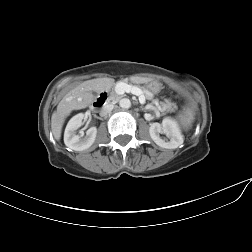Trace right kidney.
Listing matches in <instances>:
<instances>
[{
    "mask_svg": "<svg viewBox=\"0 0 252 252\" xmlns=\"http://www.w3.org/2000/svg\"><path fill=\"white\" fill-rule=\"evenodd\" d=\"M85 118L86 116L84 114L79 113L72 117L66 126L64 143L72 150L83 151L88 149L95 141L97 135L96 127L88 129L85 137L76 134V130L83 124V119Z\"/></svg>",
    "mask_w": 252,
    "mask_h": 252,
    "instance_id": "obj_1",
    "label": "right kidney"
}]
</instances>
